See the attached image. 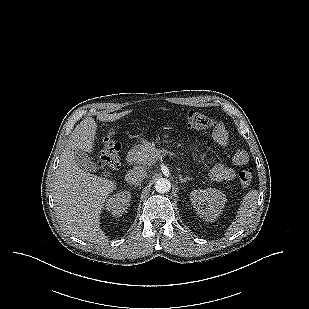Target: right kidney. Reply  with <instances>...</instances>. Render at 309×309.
Here are the masks:
<instances>
[{"mask_svg":"<svg viewBox=\"0 0 309 309\" xmlns=\"http://www.w3.org/2000/svg\"><path fill=\"white\" fill-rule=\"evenodd\" d=\"M131 193L129 191L117 192L107 199L106 210L115 217L121 216L129 206Z\"/></svg>","mask_w":309,"mask_h":309,"instance_id":"ca27d5eb","label":"right kidney"}]
</instances>
